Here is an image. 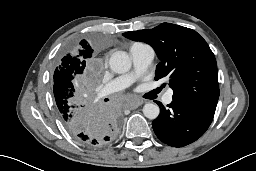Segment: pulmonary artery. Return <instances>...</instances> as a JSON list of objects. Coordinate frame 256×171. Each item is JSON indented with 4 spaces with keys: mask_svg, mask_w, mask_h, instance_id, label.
I'll use <instances>...</instances> for the list:
<instances>
[{
    "mask_svg": "<svg viewBox=\"0 0 256 171\" xmlns=\"http://www.w3.org/2000/svg\"><path fill=\"white\" fill-rule=\"evenodd\" d=\"M130 56L133 63V70L125 75L119 76L109 82L103 89V94H111L129 87L136 79H138L150 67L155 52L154 49L142 43L133 44L130 47ZM172 90H169L165 97L164 103L169 104L172 101Z\"/></svg>",
    "mask_w": 256,
    "mask_h": 171,
    "instance_id": "1",
    "label": "pulmonary artery"
}]
</instances>
